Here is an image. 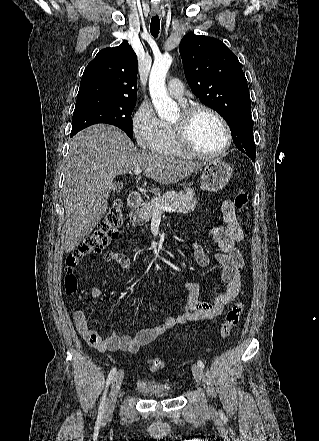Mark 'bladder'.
I'll return each instance as SVG.
<instances>
[{"instance_id": "bladder-1", "label": "bladder", "mask_w": 319, "mask_h": 441, "mask_svg": "<svg viewBox=\"0 0 319 441\" xmlns=\"http://www.w3.org/2000/svg\"><path fill=\"white\" fill-rule=\"evenodd\" d=\"M139 392L150 397H170L172 389L169 384H159L148 379H140L136 383Z\"/></svg>"}]
</instances>
